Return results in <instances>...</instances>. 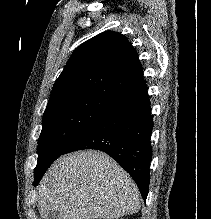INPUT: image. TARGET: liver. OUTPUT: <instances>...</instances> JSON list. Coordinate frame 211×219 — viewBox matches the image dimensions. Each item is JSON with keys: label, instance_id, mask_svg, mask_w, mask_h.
I'll return each instance as SVG.
<instances>
[{"label": "liver", "instance_id": "6515ba94", "mask_svg": "<svg viewBox=\"0 0 211 219\" xmlns=\"http://www.w3.org/2000/svg\"><path fill=\"white\" fill-rule=\"evenodd\" d=\"M42 219L56 211V219H114L140 209L138 187L110 156L96 150L58 158L42 178L38 190Z\"/></svg>", "mask_w": 211, "mask_h": 219}]
</instances>
